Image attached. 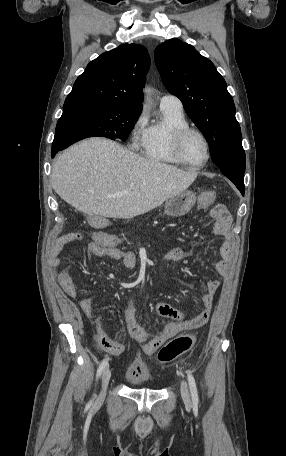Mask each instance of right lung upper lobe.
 <instances>
[{
	"mask_svg": "<svg viewBox=\"0 0 286 456\" xmlns=\"http://www.w3.org/2000/svg\"><path fill=\"white\" fill-rule=\"evenodd\" d=\"M149 66L144 46L121 45L91 61L66 100L90 99L142 109V86Z\"/></svg>",
	"mask_w": 286,
	"mask_h": 456,
	"instance_id": "obj_1",
	"label": "right lung upper lobe"
}]
</instances>
